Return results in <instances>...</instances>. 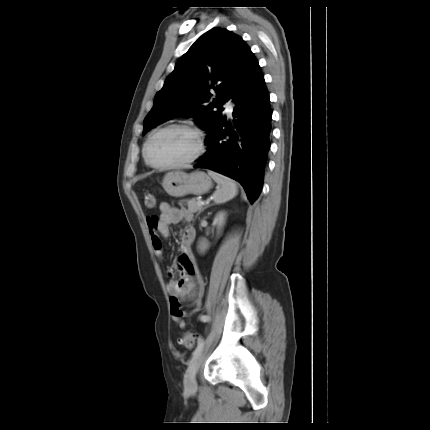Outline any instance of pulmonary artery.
Returning <instances> with one entry per match:
<instances>
[{
  "mask_svg": "<svg viewBox=\"0 0 430 430\" xmlns=\"http://www.w3.org/2000/svg\"><path fill=\"white\" fill-rule=\"evenodd\" d=\"M232 109H233V103L231 102V100H229V101L226 103V110H227V112H231V111H232Z\"/></svg>",
  "mask_w": 430,
  "mask_h": 430,
  "instance_id": "1",
  "label": "pulmonary artery"
}]
</instances>
